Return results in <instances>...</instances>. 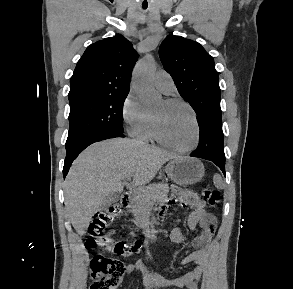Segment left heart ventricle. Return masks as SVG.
I'll return each mask as SVG.
<instances>
[{"mask_svg": "<svg viewBox=\"0 0 293 289\" xmlns=\"http://www.w3.org/2000/svg\"><path fill=\"white\" fill-rule=\"evenodd\" d=\"M162 136L180 148L190 146L195 138V126L190 111L183 105H170L163 101L153 111Z\"/></svg>", "mask_w": 293, "mask_h": 289, "instance_id": "left-heart-ventricle-1", "label": "left heart ventricle"}]
</instances>
